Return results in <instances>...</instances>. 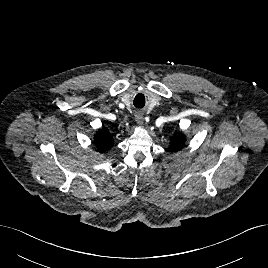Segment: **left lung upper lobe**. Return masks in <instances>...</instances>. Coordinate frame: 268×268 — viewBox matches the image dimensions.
<instances>
[{
	"label": "left lung upper lobe",
	"instance_id": "left-lung-upper-lobe-1",
	"mask_svg": "<svg viewBox=\"0 0 268 268\" xmlns=\"http://www.w3.org/2000/svg\"><path fill=\"white\" fill-rule=\"evenodd\" d=\"M186 141V137L183 133H176L174 136L171 137L169 149L170 151H177L181 147H183Z\"/></svg>",
	"mask_w": 268,
	"mask_h": 268
}]
</instances>
